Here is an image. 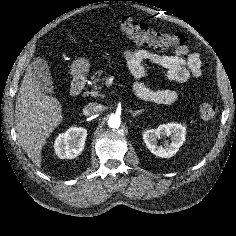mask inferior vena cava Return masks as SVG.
Listing matches in <instances>:
<instances>
[{"label":"inferior vena cava","instance_id":"obj_1","mask_svg":"<svg viewBox=\"0 0 236 236\" xmlns=\"http://www.w3.org/2000/svg\"><path fill=\"white\" fill-rule=\"evenodd\" d=\"M103 110L101 104L98 103H89L83 108V114L85 116H92L97 113H100Z\"/></svg>","mask_w":236,"mask_h":236}]
</instances>
